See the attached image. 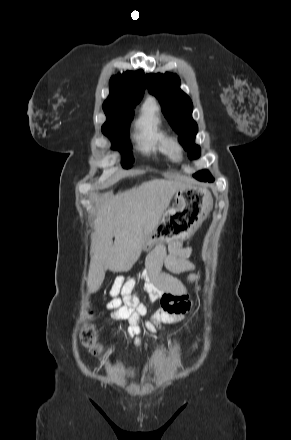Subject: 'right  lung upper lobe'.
Masks as SVG:
<instances>
[{
  "label": "right lung upper lobe",
  "instance_id": "right-lung-upper-lobe-1",
  "mask_svg": "<svg viewBox=\"0 0 291 440\" xmlns=\"http://www.w3.org/2000/svg\"><path fill=\"white\" fill-rule=\"evenodd\" d=\"M110 94L103 103L104 110L133 109L144 93V72L127 71L113 76L110 80Z\"/></svg>",
  "mask_w": 291,
  "mask_h": 440
}]
</instances>
